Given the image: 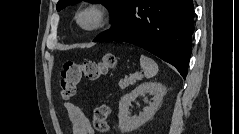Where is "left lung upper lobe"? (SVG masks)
<instances>
[{
    "label": "left lung upper lobe",
    "instance_id": "1",
    "mask_svg": "<svg viewBox=\"0 0 239 134\" xmlns=\"http://www.w3.org/2000/svg\"><path fill=\"white\" fill-rule=\"evenodd\" d=\"M82 0H59L57 3V10L60 11L61 9L67 7L71 4H76L81 2ZM93 3H102L110 12L111 14V22L112 25L116 24L121 15L123 14L125 8L127 7L128 3L131 0H85Z\"/></svg>",
    "mask_w": 239,
    "mask_h": 134
}]
</instances>
